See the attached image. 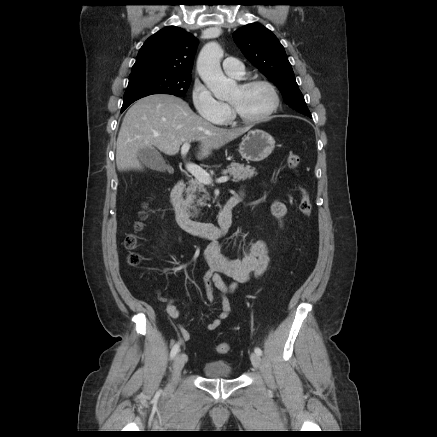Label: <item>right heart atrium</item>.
<instances>
[{"label":"right heart atrium","mask_w":437,"mask_h":437,"mask_svg":"<svg viewBox=\"0 0 437 437\" xmlns=\"http://www.w3.org/2000/svg\"><path fill=\"white\" fill-rule=\"evenodd\" d=\"M192 103L198 115L213 123H222L230 114L228 104L217 99L201 82L196 81L192 89Z\"/></svg>","instance_id":"1"}]
</instances>
